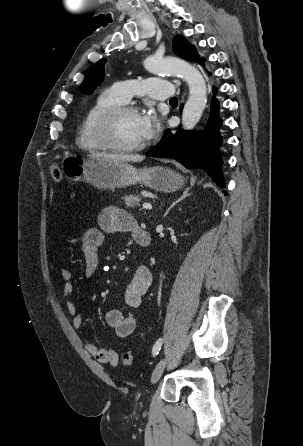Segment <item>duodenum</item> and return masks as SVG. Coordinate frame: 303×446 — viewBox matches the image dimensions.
I'll list each match as a JSON object with an SVG mask.
<instances>
[{"label":"duodenum","instance_id":"obj_1","mask_svg":"<svg viewBox=\"0 0 303 446\" xmlns=\"http://www.w3.org/2000/svg\"><path fill=\"white\" fill-rule=\"evenodd\" d=\"M136 242L142 246H148L150 244V235L147 231H141L137 237Z\"/></svg>","mask_w":303,"mask_h":446}]
</instances>
